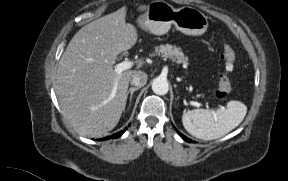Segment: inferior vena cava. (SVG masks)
Masks as SVG:
<instances>
[{"label": "inferior vena cava", "mask_w": 288, "mask_h": 181, "mask_svg": "<svg viewBox=\"0 0 288 181\" xmlns=\"http://www.w3.org/2000/svg\"><path fill=\"white\" fill-rule=\"evenodd\" d=\"M147 74L144 71H137L135 74L132 75L130 83L137 87H142L147 82Z\"/></svg>", "instance_id": "inferior-vena-cava-1"}]
</instances>
